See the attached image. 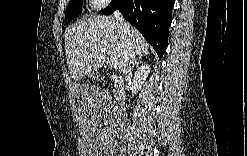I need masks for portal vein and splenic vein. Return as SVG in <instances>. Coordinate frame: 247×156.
Masks as SVG:
<instances>
[{
	"label": "portal vein and splenic vein",
	"mask_w": 247,
	"mask_h": 156,
	"mask_svg": "<svg viewBox=\"0 0 247 156\" xmlns=\"http://www.w3.org/2000/svg\"><path fill=\"white\" fill-rule=\"evenodd\" d=\"M109 64H110L111 68H116L117 67V62L116 61L110 60Z\"/></svg>",
	"instance_id": "obj_1"
}]
</instances>
